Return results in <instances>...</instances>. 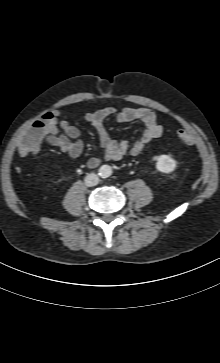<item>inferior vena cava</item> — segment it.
<instances>
[{"label":"inferior vena cava","instance_id":"inferior-vena-cava-1","mask_svg":"<svg viewBox=\"0 0 220 363\" xmlns=\"http://www.w3.org/2000/svg\"><path fill=\"white\" fill-rule=\"evenodd\" d=\"M99 182V177L97 174L95 173H89L86 177H85V184L88 187H92L97 185Z\"/></svg>","mask_w":220,"mask_h":363}]
</instances>
